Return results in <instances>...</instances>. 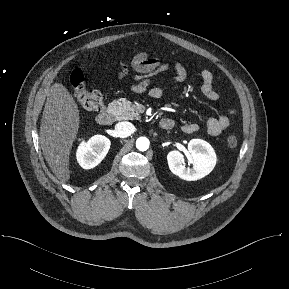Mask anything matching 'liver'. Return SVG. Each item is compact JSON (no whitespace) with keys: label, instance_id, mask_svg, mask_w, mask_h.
I'll return each mask as SVG.
<instances>
[{"label":"liver","instance_id":"obj_1","mask_svg":"<svg viewBox=\"0 0 289 289\" xmlns=\"http://www.w3.org/2000/svg\"><path fill=\"white\" fill-rule=\"evenodd\" d=\"M79 127L76 101L63 84H53L43 111L40 144L49 167L63 183L70 179L69 156Z\"/></svg>","mask_w":289,"mask_h":289}]
</instances>
